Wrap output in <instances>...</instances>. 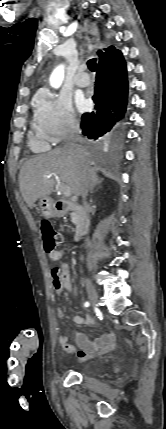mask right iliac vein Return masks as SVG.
<instances>
[{
	"label": "right iliac vein",
	"instance_id": "right-iliac-vein-1",
	"mask_svg": "<svg viewBox=\"0 0 166 429\" xmlns=\"http://www.w3.org/2000/svg\"><path fill=\"white\" fill-rule=\"evenodd\" d=\"M84 283H85V286L87 289V293H88V297H89L90 302L96 306L98 303V295H97V292H96L94 286L92 285V283L90 282L89 279H85Z\"/></svg>",
	"mask_w": 166,
	"mask_h": 429
}]
</instances>
